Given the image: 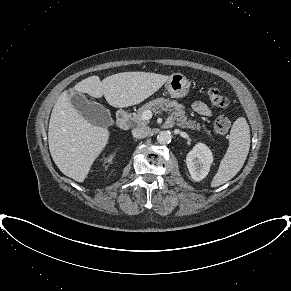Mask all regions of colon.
Masks as SVG:
<instances>
[{"instance_id":"obj_1","label":"colon","mask_w":291,"mask_h":291,"mask_svg":"<svg viewBox=\"0 0 291 291\" xmlns=\"http://www.w3.org/2000/svg\"><path fill=\"white\" fill-rule=\"evenodd\" d=\"M207 95L210 106L214 108H224L229 104L228 98L217 88H210ZM229 128L230 120L226 116H220L214 122V130L219 135L226 134Z\"/></svg>"}]
</instances>
